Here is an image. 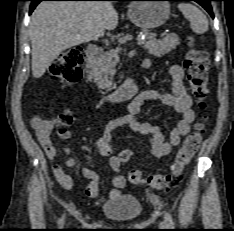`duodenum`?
<instances>
[{
  "mask_svg": "<svg viewBox=\"0 0 234 231\" xmlns=\"http://www.w3.org/2000/svg\"><path fill=\"white\" fill-rule=\"evenodd\" d=\"M97 52H98L97 45L92 43L88 45L86 49L85 58L87 60H92L96 56ZM148 66L149 64L147 62L143 63L144 68H147ZM137 88H138L137 80L135 78H131L128 81H126L122 86L110 92L105 97V100L110 103L125 102L131 99L136 94Z\"/></svg>",
  "mask_w": 234,
  "mask_h": 231,
  "instance_id": "duodenum-1",
  "label": "duodenum"
}]
</instances>
